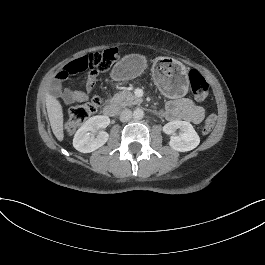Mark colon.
I'll use <instances>...</instances> for the list:
<instances>
[{"instance_id": "5ec220e1", "label": "colon", "mask_w": 265, "mask_h": 265, "mask_svg": "<svg viewBox=\"0 0 265 265\" xmlns=\"http://www.w3.org/2000/svg\"><path fill=\"white\" fill-rule=\"evenodd\" d=\"M117 51L115 49H108L101 53H91L80 57L59 70L57 78L60 80L66 79L68 76L87 70H95L104 72L109 70L116 60ZM189 82L191 92L195 99L204 100L210 91V87L206 79L197 71L191 70L189 72ZM100 99L93 97L89 101L76 105L69 110L68 117L65 122V129L71 133L79 128L85 121H87L99 108ZM217 116L211 114L205 121L203 132L210 133L216 124Z\"/></svg>"}]
</instances>
